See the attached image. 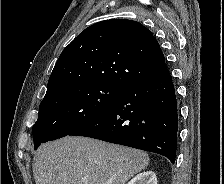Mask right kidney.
Wrapping results in <instances>:
<instances>
[{"instance_id":"right-kidney-1","label":"right kidney","mask_w":224,"mask_h":184,"mask_svg":"<svg viewBox=\"0 0 224 184\" xmlns=\"http://www.w3.org/2000/svg\"><path fill=\"white\" fill-rule=\"evenodd\" d=\"M127 184H157V178L154 172L145 171L136 175Z\"/></svg>"}]
</instances>
